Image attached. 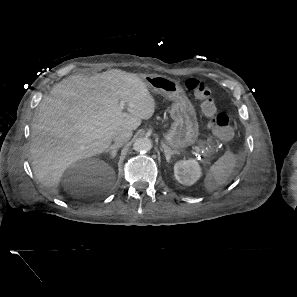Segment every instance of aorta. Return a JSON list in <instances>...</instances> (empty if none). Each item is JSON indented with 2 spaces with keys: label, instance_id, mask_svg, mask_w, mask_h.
I'll use <instances>...</instances> for the list:
<instances>
[{
  "label": "aorta",
  "instance_id": "aorta-1",
  "mask_svg": "<svg viewBox=\"0 0 297 297\" xmlns=\"http://www.w3.org/2000/svg\"><path fill=\"white\" fill-rule=\"evenodd\" d=\"M152 148V142L148 138H139L133 144V149L138 153H146Z\"/></svg>",
  "mask_w": 297,
  "mask_h": 297
}]
</instances>
